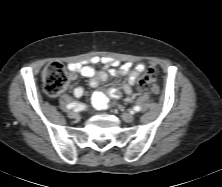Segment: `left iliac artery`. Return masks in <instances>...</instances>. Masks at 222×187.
I'll return each instance as SVG.
<instances>
[{
    "label": "left iliac artery",
    "instance_id": "44dca946",
    "mask_svg": "<svg viewBox=\"0 0 222 187\" xmlns=\"http://www.w3.org/2000/svg\"><path fill=\"white\" fill-rule=\"evenodd\" d=\"M133 110H134L135 112H139V111L141 110V108H140L139 106H135V107L133 108Z\"/></svg>",
    "mask_w": 222,
    "mask_h": 187
}]
</instances>
